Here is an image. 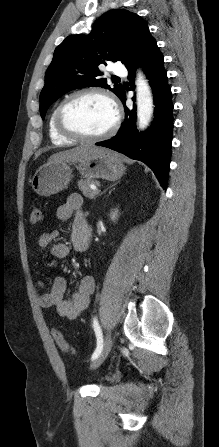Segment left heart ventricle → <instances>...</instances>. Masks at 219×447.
I'll return each instance as SVG.
<instances>
[{
    "label": "left heart ventricle",
    "mask_w": 219,
    "mask_h": 447,
    "mask_svg": "<svg viewBox=\"0 0 219 447\" xmlns=\"http://www.w3.org/2000/svg\"><path fill=\"white\" fill-rule=\"evenodd\" d=\"M113 120L112 106L98 95H85L76 99L65 112L67 125L88 135L103 133Z\"/></svg>",
    "instance_id": "1"
}]
</instances>
